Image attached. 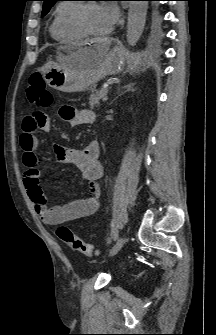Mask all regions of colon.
<instances>
[{"mask_svg":"<svg viewBox=\"0 0 216 335\" xmlns=\"http://www.w3.org/2000/svg\"><path fill=\"white\" fill-rule=\"evenodd\" d=\"M27 97L30 102L38 108H48L53 102L52 93L46 88L44 80L40 73H33L27 82ZM57 236L68 245L73 251L78 252L86 257H94L98 251L93 245L77 236L70 228L61 225L56 230Z\"/></svg>","mask_w":216,"mask_h":335,"instance_id":"colon-1","label":"colon"}]
</instances>
